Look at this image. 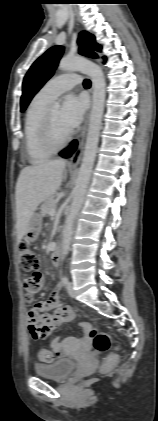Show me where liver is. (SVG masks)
Masks as SVG:
<instances>
[{
  "label": "liver",
  "mask_w": 158,
  "mask_h": 421,
  "mask_svg": "<svg viewBox=\"0 0 158 421\" xmlns=\"http://www.w3.org/2000/svg\"><path fill=\"white\" fill-rule=\"evenodd\" d=\"M66 178V162L52 160L23 168L16 184L17 240L26 234L40 203L51 197Z\"/></svg>",
  "instance_id": "6515ba94"
}]
</instances>
